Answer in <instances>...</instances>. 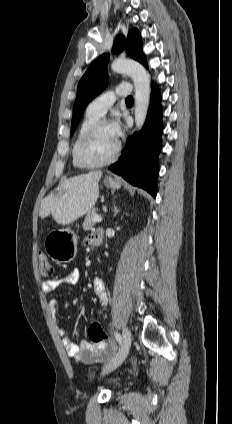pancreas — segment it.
Listing matches in <instances>:
<instances>
[{
  "mask_svg": "<svg viewBox=\"0 0 232 424\" xmlns=\"http://www.w3.org/2000/svg\"><path fill=\"white\" fill-rule=\"evenodd\" d=\"M97 216L96 209H92L86 216L84 223H83V229L84 230H91L96 222L93 221V218Z\"/></svg>",
  "mask_w": 232,
  "mask_h": 424,
  "instance_id": "obj_1",
  "label": "pancreas"
}]
</instances>
